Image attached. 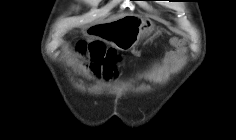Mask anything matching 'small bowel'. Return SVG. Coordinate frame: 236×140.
I'll return each mask as SVG.
<instances>
[{
	"mask_svg": "<svg viewBox=\"0 0 236 140\" xmlns=\"http://www.w3.org/2000/svg\"><path fill=\"white\" fill-rule=\"evenodd\" d=\"M175 57H176V52L174 51L167 56L166 61L171 62L175 59Z\"/></svg>",
	"mask_w": 236,
	"mask_h": 140,
	"instance_id": "small-bowel-1",
	"label": "small bowel"
}]
</instances>
